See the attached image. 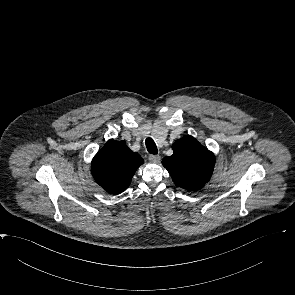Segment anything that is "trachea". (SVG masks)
<instances>
[{
    "label": "trachea",
    "mask_w": 295,
    "mask_h": 295,
    "mask_svg": "<svg viewBox=\"0 0 295 295\" xmlns=\"http://www.w3.org/2000/svg\"><path fill=\"white\" fill-rule=\"evenodd\" d=\"M146 148L150 154H157V146L152 138H147L145 141Z\"/></svg>",
    "instance_id": "trachea-1"
}]
</instances>
